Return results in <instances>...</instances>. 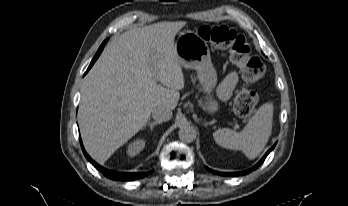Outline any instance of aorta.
Masks as SVG:
<instances>
[{"label": "aorta", "mask_w": 348, "mask_h": 206, "mask_svg": "<svg viewBox=\"0 0 348 206\" xmlns=\"http://www.w3.org/2000/svg\"><path fill=\"white\" fill-rule=\"evenodd\" d=\"M178 136L181 141L190 143L195 139L196 132L191 125L184 124L179 128Z\"/></svg>", "instance_id": "762f6f07"}]
</instances>
